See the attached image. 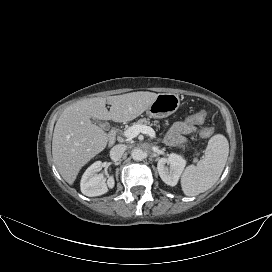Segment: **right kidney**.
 <instances>
[{
  "mask_svg": "<svg viewBox=\"0 0 272 272\" xmlns=\"http://www.w3.org/2000/svg\"><path fill=\"white\" fill-rule=\"evenodd\" d=\"M102 168V162L97 161L93 163L84 172L80 187L81 192L89 197L100 196L108 192V188L112 189L115 185L113 176H109L107 181L103 175L98 174Z\"/></svg>",
  "mask_w": 272,
  "mask_h": 272,
  "instance_id": "right-kidney-1",
  "label": "right kidney"
}]
</instances>
